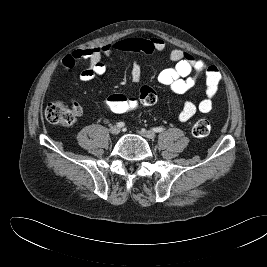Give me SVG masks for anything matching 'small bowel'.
Segmentation results:
<instances>
[{"mask_svg": "<svg viewBox=\"0 0 267 267\" xmlns=\"http://www.w3.org/2000/svg\"><path fill=\"white\" fill-rule=\"evenodd\" d=\"M113 52L148 55L156 52L167 53L169 60L173 61L175 65L160 71L157 75V81L176 94L186 93L200 80L205 82V97L198 103L186 100L178 115L180 122H187L198 111L209 113L212 110L213 99L221 82L218 68L214 65H207L202 59H198L182 49L168 50L166 43L160 38H125L102 46L77 49L60 61L59 68L62 72L68 73L74 68L77 61L87 60L89 66L79 73V79L83 82H89L105 74L106 66L102 58ZM131 78L135 83L141 81L142 67L139 61H135L132 65ZM72 108L77 115L81 114L82 108L74 100L72 101Z\"/></svg>", "mask_w": 267, "mask_h": 267, "instance_id": "obj_1", "label": "small bowel"}]
</instances>
